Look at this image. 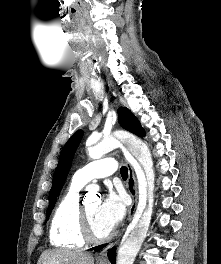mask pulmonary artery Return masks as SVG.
Here are the masks:
<instances>
[{
  "label": "pulmonary artery",
  "mask_w": 221,
  "mask_h": 264,
  "mask_svg": "<svg viewBox=\"0 0 221 264\" xmlns=\"http://www.w3.org/2000/svg\"><path fill=\"white\" fill-rule=\"evenodd\" d=\"M116 170L117 163L115 159L103 158L90 162L84 167L78 169L74 173L72 181L83 186L94 179L111 176Z\"/></svg>",
  "instance_id": "e3ab8cb5"
}]
</instances>
